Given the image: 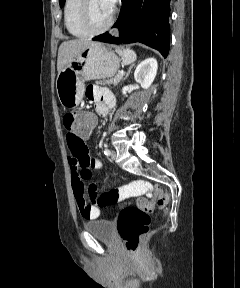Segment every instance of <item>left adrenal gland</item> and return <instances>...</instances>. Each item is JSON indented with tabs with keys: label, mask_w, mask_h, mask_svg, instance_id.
I'll list each match as a JSON object with an SVG mask.
<instances>
[{
	"label": "left adrenal gland",
	"mask_w": 240,
	"mask_h": 288,
	"mask_svg": "<svg viewBox=\"0 0 240 288\" xmlns=\"http://www.w3.org/2000/svg\"><path fill=\"white\" fill-rule=\"evenodd\" d=\"M133 66H134V64H132V65L129 67L128 72L126 73V76H125L124 79H126V78L129 76L130 71H131V69H132Z\"/></svg>",
	"instance_id": "a2214340"
}]
</instances>
